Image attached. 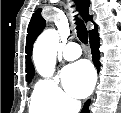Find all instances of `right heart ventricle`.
Segmentation results:
<instances>
[{
  "mask_svg": "<svg viewBox=\"0 0 121 113\" xmlns=\"http://www.w3.org/2000/svg\"><path fill=\"white\" fill-rule=\"evenodd\" d=\"M28 110L29 113H50L48 108L38 99L36 87L30 98Z\"/></svg>",
  "mask_w": 121,
  "mask_h": 113,
  "instance_id": "e07e8e85",
  "label": "right heart ventricle"
}]
</instances>
